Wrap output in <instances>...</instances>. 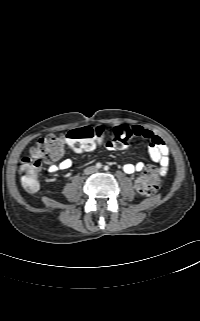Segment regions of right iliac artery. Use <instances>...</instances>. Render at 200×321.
<instances>
[{
    "mask_svg": "<svg viewBox=\"0 0 200 321\" xmlns=\"http://www.w3.org/2000/svg\"><path fill=\"white\" fill-rule=\"evenodd\" d=\"M102 167L101 163H96V168L100 169Z\"/></svg>",
    "mask_w": 200,
    "mask_h": 321,
    "instance_id": "obj_1",
    "label": "right iliac artery"
}]
</instances>
